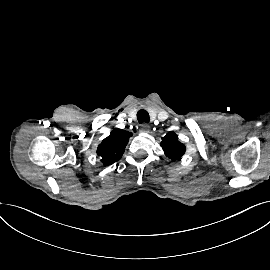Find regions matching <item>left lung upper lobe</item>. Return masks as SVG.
<instances>
[{
  "mask_svg": "<svg viewBox=\"0 0 270 270\" xmlns=\"http://www.w3.org/2000/svg\"><path fill=\"white\" fill-rule=\"evenodd\" d=\"M162 149L167 157L172 161H176L185 153V145L178 141L177 135L174 132H168L162 137Z\"/></svg>",
  "mask_w": 270,
  "mask_h": 270,
  "instance_id": "1",
  "label": "left lung upper lobe"
}]
</instances>
